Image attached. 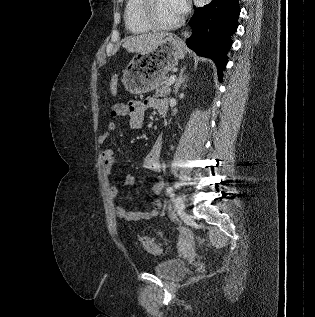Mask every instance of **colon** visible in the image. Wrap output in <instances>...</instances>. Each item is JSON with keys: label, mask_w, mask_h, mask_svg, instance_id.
Returning <instances> with one entry per match:
<instances>
[{"label": "colon", "mask_w": 315, "mask_h": 317, "mask_svg": "<svg viewBox=\"0 0 315 317\" xmlns=\"http://www.w3.org/2000/svg\"><path fill=\"white\" fill-rule=\"evenodd\" d=\"M118 88V77L114 76L111 80L110 90L112 94H116ZM140 242L145 251L153 255L163 254V249L150 237L141 236Z\"/></svg>", "instance_id": "5ec220e1"}]
</instances>
